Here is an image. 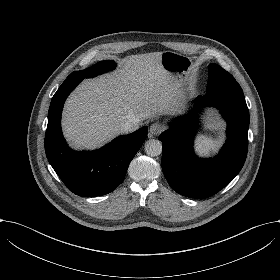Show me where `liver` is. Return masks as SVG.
Instances as JSON below:
<instances>
[{"mask_svg":"<svg viewBox=\"0 0 280 280\" xmlns=\"http://www.w3.org/2000/svg\"><path fill=\"white\" fill-rule=\"evenodd\" d=\"M161 54L127 56L115 72L84 80L75 89L62 117L71 147L94 149L121 133L128 121L179 112L184 92L163 68Z\"/></svg>","mask_w":280,"mask_h":280,"instance_id":"obj_1","label":"liver"}]
</instances>
